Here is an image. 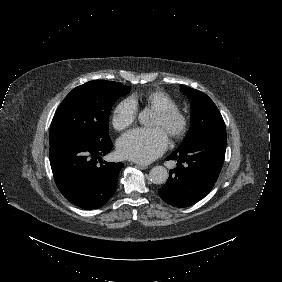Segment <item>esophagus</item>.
I'll return each instance as SVG.
<instances>
[{
  "label": "esophagus",
  "mask_w": 282,
  "mask_h": 282,
  "mask_svg": "<svg viewBox=\"0 0 282 282\" xmlns=\"http://www.w3.org/2000/svg\"><path fill=\"white\" fill-rule=\"evenodd\" d=\"M136 166H137L138 168H140L141 170H145V169L148 168V166L143 165V164H139V163H137Z\"/></svg>",
  "instance_id": "esophagus-1"
}]
</instances>
